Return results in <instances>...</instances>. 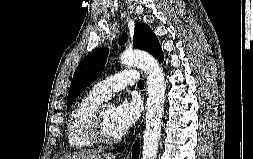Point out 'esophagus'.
<instances>
[{
    "instance_id": "esophagus-1",
    "label": "esophagus",
    "mask_w": 253,
    "mask_h": 159,
    "mask_svg": "<svg viewBox=\"0 0 253 159\" xmlns=\"http://www.w3.org/2000/svg\"><path fill=\"white\" fill-rule=\"evenodd\" d=\"M131 153L128 151L122 159H130Z\"/></svg>"
}]
</instances>
